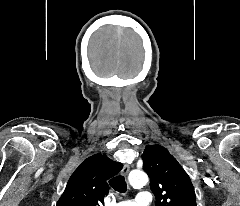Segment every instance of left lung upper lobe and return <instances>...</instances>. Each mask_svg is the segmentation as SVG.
Wrapping results in <instances>:
<instances>
[{
    "label": "left lung upper lobe",
    "mask_w": 240,
    "mask_h": 206,
    "mask_svg": "<svg viewBox=\"0 0 240 206\" xmlns=\"http://www.w3.org/2000/svg\"><path fill=\"white\" fill-rule=\"evenodd\" d=\"M142 159L156 206H196L189 176L166 148L158 144L147 145Z\"/></svg>",
    "instance_id": "1"
}]
</instances>
